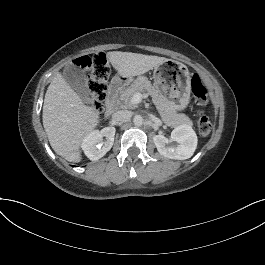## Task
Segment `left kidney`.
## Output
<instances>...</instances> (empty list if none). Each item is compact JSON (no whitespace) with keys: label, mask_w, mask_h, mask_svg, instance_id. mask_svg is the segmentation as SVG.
Here are the masks:
<instances>
[{"label":"left kidney","mask_w":265,"mask_h":265,"mask_svg":"<svg viewBox=\"0 0 265 265\" xmlns=\"http://www.w3.org/2000/svg\"><path fill=\"white\" fill-rule=\"evenodd\" d=\"M158 152L169 159L185 160L190 158L197 147V135L188 124L174 128L168 139L163 135L153 137Z\"/></svg>","instance_id":"left-kidney-1"}]
</instances>
